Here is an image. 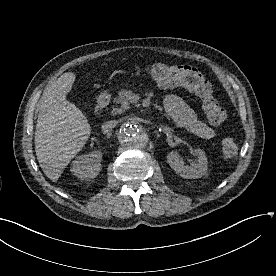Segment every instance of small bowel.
Masks as SVG:
<instances>
[{"label":"small bowel","mask_w":276,"mask_h":276,"mask_svg":"<svg viewBox=\"0 0 276 276\" xmlns=\"http://www.w3.org/2000/svg\"><path fill=\"white\" fill-rule=\"evenodd\" d=\"M164 105L166 115L175 125L203 139H211L216 136V130L200 120L195 112L179 96H167Z\"/></svg>","instance_id":"c3829d8e"}]
</instances>
